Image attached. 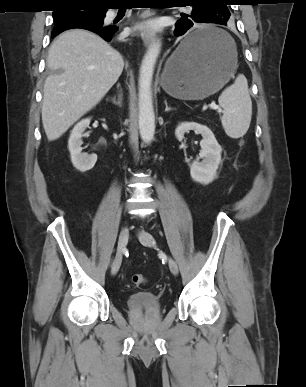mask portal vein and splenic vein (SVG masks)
<instances>
[{
    "instance_id": "portal-vein-and-splenic-vein-1",
    "label": "portal vein and splenic vein",
    "mask_w": 306,
    "mask_h": 387,
    "mask_svg": "<svg viewBox=\"0 0 306 387\" xmlns=\"http://www.w3.org/2000/svg\"><path fill=\"white\" fill-rule=\"evenodd\" d=\"M210 108L213 109V110H220V106L219 105H216L215 103H211L210 104Z\"/></svg>"
}]
</instances>
